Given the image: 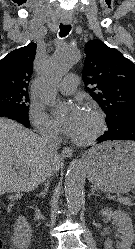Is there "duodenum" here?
Returning a JSON list of instances; mask_svg holds the SVG:
<instances>
[{"label":"duodenum","instance_id":"duodenum-1","mask_svg":"<svg viewBox=\"0 0 135 249\" xmlns=\"http://www.w3.org/2000/svg\"><path fill=\"white\" fill-rule=\"evenodd\" d=\"M12 200H13V201H17V200H18V197H13Z\"/></svg>","mask_w":135,"mask_h":249}]
</instances>
